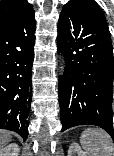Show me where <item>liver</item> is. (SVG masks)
<instances>
[{
    "instance_id": "liver-1",
    "label": "liver",
    "mask_w": 114,
    "mask_h": 156,
    "mask_svg": "<svg viewBox=\"0 0 114 156\" xmlns=\"http://www.w3.org/2000/svg\"><path fill=\"white\" fill-rule=\"evenodd\" d=\"M12 133L7 130H0V150L3 149L11 140Z\"/></svg>"
}]
</instances>
